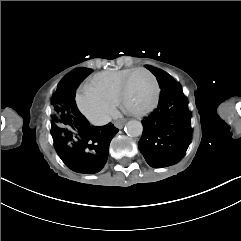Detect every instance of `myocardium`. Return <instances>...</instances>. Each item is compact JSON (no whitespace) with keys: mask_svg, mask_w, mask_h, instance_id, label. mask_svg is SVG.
I'll return each mask as SVG.
<instances>
[{"mask_svg":"<svg viewBox=\"0 0 241 241\" xmlns=\"http://www.w3.org/2000/svg\"><path fill=\"white\" fill-rule=\"evenodd\" d=\"M144 73L146 74L147 76V80L148 82L151 83V86H152V89H153V95H154V102H152V104H150L149 107H147L146 110L143 111V113H141V118H146V116L149 115V113L153 112L154 109H156L158 103H160L161 101V98H160V91H159V87H158V83L157 81L155 80L154 76L151 74L150 70L148 69V67L144 66H140V67H137V68H132L131 70H129L126 75L124 76L123 79H121V81H119V86H118V92H119V95H118V98H119V103L123 104L125 103V95H124V83L126 81H129V79L135 75V74H139V73Z\"/></svg>","mask_w":241,"mask_h":241,"instance_id":"1","label":"myocardium"}]
</instances>
